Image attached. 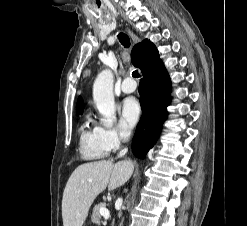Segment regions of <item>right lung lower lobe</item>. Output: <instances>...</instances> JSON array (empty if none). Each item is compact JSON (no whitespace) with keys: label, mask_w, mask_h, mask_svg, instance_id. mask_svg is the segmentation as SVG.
<instances>
[{"label":"right lung lower lobe","mask_w":247,"mask_h":226,"mask_svg":"<svg viewBox=\"0 0 247 226\" xmlns=\"http://www.w3.org/2000/svg\"><path fill=\"white\" fill-rule=\"evenodd\" d=\"M142 74L139 94L143 113L132 142V152L136 157L144 159L159 137L167 118L166 107L171 101L170 78L156 47L151 49L150 59Z\"/></svg>","instance_id":"obj_1"}]
</instances>
